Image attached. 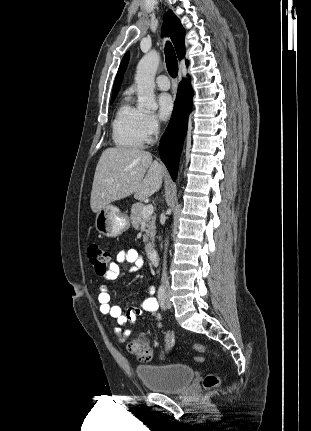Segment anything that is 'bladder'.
Wrapping results in <instances>:
<instances>
[{
  "label": "bladder",
  "mask_w": 311,
  "mask_h": 431,
  "mask_svg": "<svg viewBox=\"0 0 311 431\" xmlns=\"http://www.w3.org/2000/svg\"><path fill=\"white\" fill-rule=\"evenodd\" d=\"M141 383L148 389L160 393H178L194 378V370L183 363L142 364L135 368Z\"/></svg>",
  "instance_id": "obj_1"
}]
</instances>
